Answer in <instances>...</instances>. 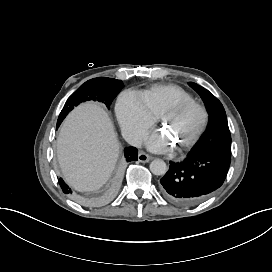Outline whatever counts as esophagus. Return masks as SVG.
Segmentation results:
<instances>
[{
  "mask_svg": "<svg viewBox=\"0 0 272 272\" xmlns=\"http://www.w3.org/2000/svg\"><path fill=\"white\" fill-rule=\"evenodd\" d=\"M152 159V157L144 152H140L139 155H138V160L141 162V163H147L149 162L150 160Z\"/></svg>",
  "mask_w": 272,
  "mask_h": 272,
  "instance_id": "34e87169",
  "label": "esophagus"
}]
</instances>
